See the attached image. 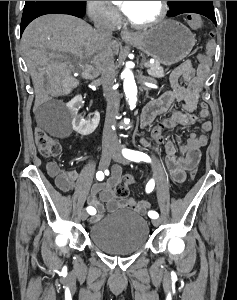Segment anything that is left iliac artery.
Returning <instances> with one entry per match:
<instances>
[{
  "instance_id": "obj_1",
  "label": "left iliac artery",
  "mask_w": 237,
  "mask_h": 300,
  "mask_svg": "<svg viewBox=\"0 0 237 300\" xmlns=\"http://www.w3.org/2000/svg\"><path fill=\"white\" fill-rule=\"evenodd\" d=\"M122 154L128 160H131L134 162H140V161L151 162L150 157L143 152L134 151V150L125 148L122 150ZM154 186H155L154 179H151L146 185V192L150 193L154 189ZM148 216L152 219H156L159 217V214L155 211H149Z\"/></svg>"
}]
</instances>
